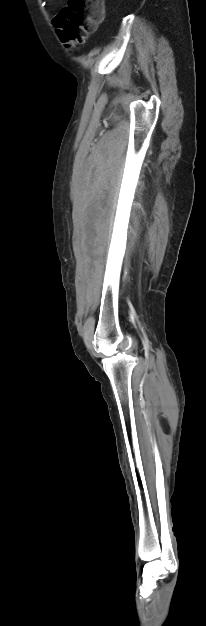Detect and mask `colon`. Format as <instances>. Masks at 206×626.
Segmentation results:
<instances>
[{"label": "colon", "instance_id": "obj_1", "mask_svg": "<svg viewBox=\"0 0 206 626\" xmlns=\"http://www.w3.org/2000/svg\"><path fill=\"white\" fill-rule=\"evenodd\" d=\"M103 16L102 0H68L54 17V25L62 42L75 45L95 31Z\"/></svg>", "mask_w": 206, "mask_h": 626}]
</instances>
